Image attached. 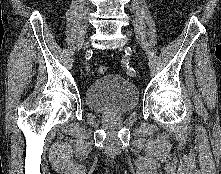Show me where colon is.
<instances>
[{
    "label": "colon",
    "instance_id": "5ec220e1",
    "mask_svg": "<svg viewBox=\"0 0 221 174\" xmlns=\"http://www.w3.org/2000/svg\"><path fill=\"white\" fill-rule=\"evenodd\" d=\"M107 71H108V67L104 66V65L99 66L98 69H97V72L99 74H106Z\"/></svg>",
    "mask_w": 221,
    "mask_h": 174
}]
</instances>
